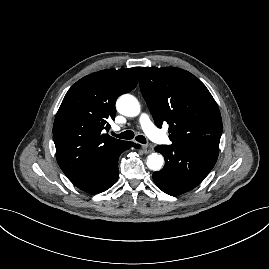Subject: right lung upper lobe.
Wrapping results in <instances>:
<instances>
[{"mask_svg":"<svg viewBox=\"0 0 269 269\" xmlns=\"http://www.w3.org/2000/svg\"><path fill=\"white\" fill-rule=\"evenodd\" d=\"M141 67L108 69L77 81L65 95L53 125L57 162L70 181L84 175L128 141L102 133L115 119L119 95L134 89Z\"/></svg>","mask_w":269,"mask_h":269,"instance_id":"right-lung-upper-lobe-1","label":"right lung upper lobe"}]
</instances>
